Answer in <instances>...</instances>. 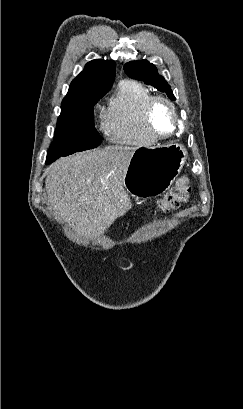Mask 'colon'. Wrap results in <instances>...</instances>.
Listing matches in <instances>:
<instances>
[{
    "mask_svg": "<svg viewBox=\"0 0 243 409\" xmlns=\"http://www.w3.org/2000/svg\"><path fill=\"white\" fill-rule=\"evenodd\" d=\"M190 191L189 178H179L175 185L158 201L154 212L166 213L179 207L188 200Z\"/></svg>",
    "mask_w": 243,
    "mask_h": 409,
    "instance_id": "obj_1",
    "label": "colon"
}]
</instances>
